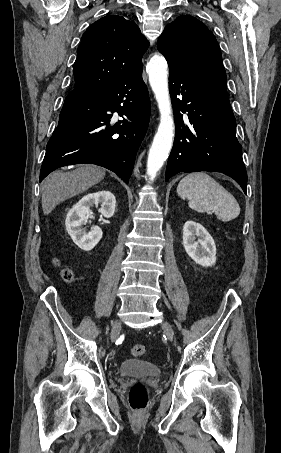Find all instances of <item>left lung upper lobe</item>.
Segmentation results:
<instances>
[{
  "label": "left lung upper lobe",
  "instance_id": "5c2ea615",
  "mask_svg": "<svg viewBox=\"0 0 281 453\" xmlns=\"http://www.w3.org/2000/svg\"><path fill=\"white\" fill-rule=\"evenodd\" d=\"M168 64L194 75L226 78L219 44L198 19L182 15L168 24L158 39Z\"/></svg>",
  "mask_w": 281,
  "mask_h": 453
}]
</instances>
